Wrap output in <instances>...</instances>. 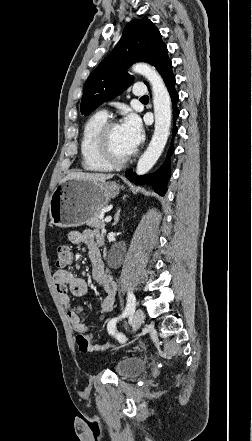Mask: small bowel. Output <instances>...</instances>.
I'll return each mask as SVG.
<instances>
[{"label": "small bowel", "mask_w": 252, "mask_h": 441, "mask_svg": "<svg viewBox=\"0 0 252 441\" xmlns=\"http://www.w3.org/2000/svg\"><path fill=\"white\" fill-rule=\"evenodd\" d=\"M70 243L79 245L85 244L88 247L89 258L92 265V277L101 289L102 299L100 304V319L112 311L115 302L117 285L113 277L106 272L99 249L100 238L96 231L86 229L83 231H71L68 234ZM56 290L62 304L67 310L68 319L75 331H87L88 327L84 324L82 315L85 310L81 306H73L70 294L80 297L86 294L87 284L85 280L75 275L71 270L58 269L54 274ZM105 346H90V351L99 350Z\"/></svg>", "instance_id": "obj_1"}]
</instances>
